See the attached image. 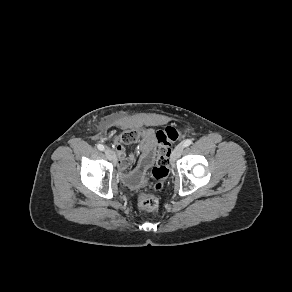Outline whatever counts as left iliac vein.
Instances as JSON below:
<instances>
[{
  "label": "left iliac vein",
  "mask_w": 292,
  "mask_h": 292,
  "mask_svg": "<svg viewBox=\"0 0 292 292\" xmlns=\"http://www.w3.org/2000/svg\"><path fill=\"white\" fill-rule=\"evenodd\" d=\"M183 149H184V147H183L182 144L178 145V146L174 149V151H173V153H172V156H171V164H172L173 167L175 166L176 160L179 158V156H180L181 153L183 152Z\"/></svg>",
  "instance_id": "obj_1"
}]
</instances>
